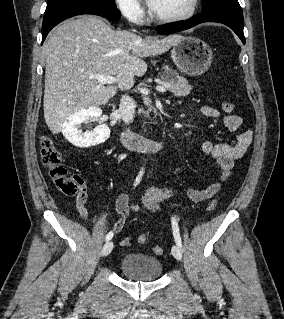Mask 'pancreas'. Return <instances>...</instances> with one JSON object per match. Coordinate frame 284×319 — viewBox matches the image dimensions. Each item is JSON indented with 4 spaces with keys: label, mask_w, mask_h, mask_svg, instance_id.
<instances>
[{
    "label": "pancreas",
    "mask_w": 284,
    "mask_h": 319,
    "mask_svg": "<svg viewBox=\"0 0 284 319\" xmlns=\"http://www.w3.org/2000/svg\"><path fill=\"white\" fill-rule=\"evenodd\" d=\"M169 74H173V77H170ZM161 79V83L170 85L168 88L175 96L181 97L190 93L191 86L188 84V81L185 78L178 76L175 71L165 72ZM143 100L144 104L149 106V110L147 112H142L148 115V112L152 110L151 101L146 97H144Z\"/></svg>",
    "instance_id": "1"
}]
</instances>
